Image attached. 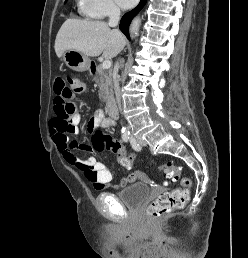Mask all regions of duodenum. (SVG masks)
<instances>
[{
    "instance_id": "1",
    "label": "duodenum",
    "mask_w": 248,
    "mask_h": 258,
    "mask_svg": "<svg viewBox=\"0 0 248 258\" xmlns=\"http://www.w3.org/2000/svg\"><path fill=\"white\" fill-rule=\"evenodd\" d=\"M106 110L112 119L116 118V107L112 99L106 101Z\"/></svg>"
}]
</instances>
